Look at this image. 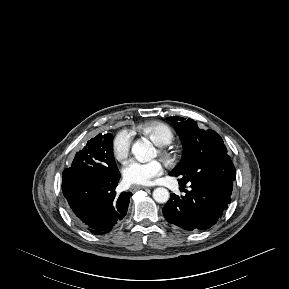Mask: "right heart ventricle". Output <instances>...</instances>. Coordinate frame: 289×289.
I'll return each instance as SVG.
<instances>
[{"instance_id": "1", "label": "right heart ventricle", "mask_w": 289, "mask_h": 289, "mask_svg": "<svg viewBox=\"0 0 289 289\" xmlns=\"http://www.w3.org/2000/svg\"><path fill=\"white\" fill-rule=\"evenodd\" d=\"M138 131L150 138L158 146H166L173 141L172 129L162 122H149L138 128Z\"/></svg>"}]
</instances>
